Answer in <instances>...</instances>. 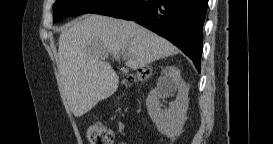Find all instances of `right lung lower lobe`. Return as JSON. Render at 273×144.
<instances>
[{"label":"right lung lower lobe","instance_id":"obj_1","mask_svg":"<svg viewBox=\"0 0 273 144\" xmlns=\"http://www.w3.org/2000/svg\"><path fill=\"white\" fill-rule=\"evenodd\" d=\"M207 6L208 0H109L91 13L135 21L150 29L182 50L200 72Z\"/></svg>","mask_w":273,"mask_h":144}]
</instances>
